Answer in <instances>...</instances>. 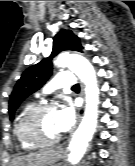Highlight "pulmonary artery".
I'll list each match as a JSON object with an SVG mask.
<instances>
[{"label":"pulmonary artery","instance_id":"1","mask_svg":"<svg viewBox=\"0 0 135 166\" xmlns=\"http://www.w3.org/2000/svg\"><path fill=\"white\" fill-rule=\"evenodd\" d=\"M74 85L75 77L71 71H59L55 77L47 83L45 92L52 88H71Z\"/></svg>","mask_w":135,"mask_h":166}]
</instances>
